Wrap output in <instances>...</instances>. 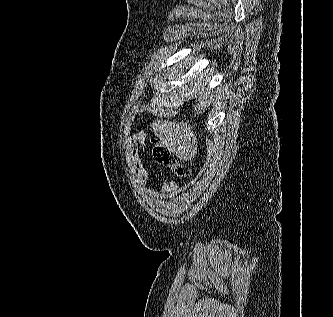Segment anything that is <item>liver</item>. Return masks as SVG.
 Listing matches in <instances>:
<instances>
[{"label":"liver","mask_w":333,"mask_h":317,"mask_svg":"<svg viewBox=\"0 0 333 317\" xmlns=\"http://www.w3.org/2000/svg\"><path fill=\"white\" fill-rule=\"evenodd\" d=\"M206 83L198 80L194 86L185 88L189 94L197 95L198 103L194 106V117L202 114L209 106V95L205 90ZM155 135L160 139L162 146L169 152L175 154L180 160L191 161L197 153V139L192 131V126L188 122H173L166 120H156L152 123Z\"/></svg>","instance_id":"obj_1"}]
</instances>
